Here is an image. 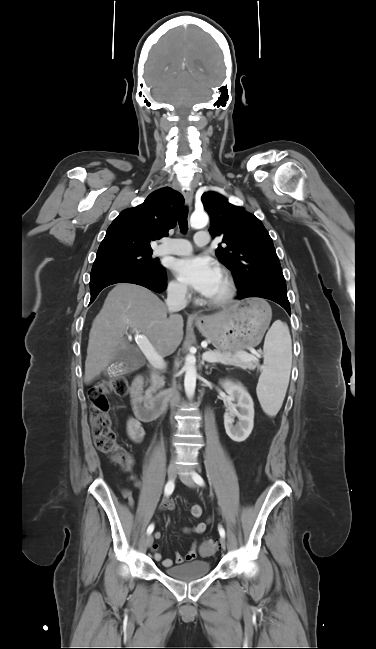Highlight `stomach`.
Listing matches in <instances>:
<instances>
[{"label":"stomach","mask_w":376,"mask_h":649,"mask_svg":"<svg viewBox=\"0 0 376 649\" xmlns=\"http://www.w3.org/2000/svg\"><path fill=\"white\" fill-rule=\"evenodd\" d=\"M271 319L269 305L258 299L236 301L229 309L195 319L201 334L221 352L257 346Z\"/></svg>","instance_id":"0dacf381"}]
</instances>
